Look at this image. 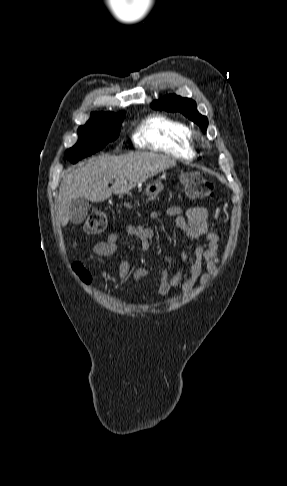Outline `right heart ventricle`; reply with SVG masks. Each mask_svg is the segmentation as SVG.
Segmentation results:
<instances>
[{"label": "right heart ventricle", "instance_id": "e07e8e85", "mask_svg": "<svg viewBox=\"0 0 287 486\" xmlns=\"http://www.w3.org/2000/svg\"><path fill=\"white\" fill-rule=\"evenodd\" d=\"M133 141L140 149L163 152L178 158L195 155L188 125L165 115L145 119L133 134Z\"/></svg>", "mask_w": 287, "mask_h": 486}]
</instances>
